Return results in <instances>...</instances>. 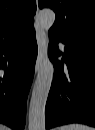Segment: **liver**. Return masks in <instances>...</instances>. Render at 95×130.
Here are the masks:
<instances>
[{"label":"liver","mask_w":95,"mask_h":130,"mask_svg":"<svg viewBox=\"0 0 95 130\" xmlns=\"http://www.w3.org/2000/svg\"><path fill=\"white\" fill-rule=\"evenodd\" d=\"M1 130H9L6 126H1Z\"/></svg>","instance_id":"6515ba94"}]
</instances>
